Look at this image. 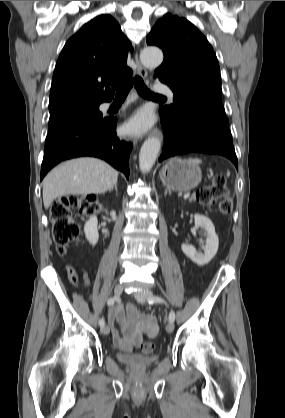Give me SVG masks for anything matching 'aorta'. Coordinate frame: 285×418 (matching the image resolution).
<instances>
[{"instance_id":"aorta-1","label":"aorta","mask_w":285,"mask_h":418,"mask_svg":"<svg viewBox=\"0 0 285 418\" xmlns=\"http://www.w3.org/2000/svg\"><path fill=\"white\" fill-rule=\"evenodd\" d=\"M140 60L144 66L156 68L163 61V53L159 48L147 47L141 51ZM160 149L161 143L157 138H149L143 143L139 153V167L142 173H148L152 169Z\"/></svg>"}]
</instances>
